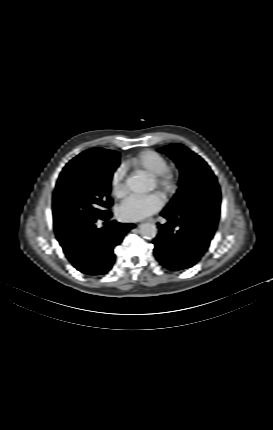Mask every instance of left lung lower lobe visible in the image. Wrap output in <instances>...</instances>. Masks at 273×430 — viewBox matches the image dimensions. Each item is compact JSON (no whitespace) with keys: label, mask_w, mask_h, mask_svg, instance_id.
Listing matches in <instances>:
<instances>
[{"label":"left lung lower lobe","mask_w":273,"mask_h":430,"mask_svg":"<svg viewBox=\"0 0 273 430\" xmlns=\"http://www.w3.org/2000/svg\"><path fill=\"white\" fill-rule=\"evenodd\" d=\"M189 215L178 217L164 209L161 213L168 222L159 225L153 240L154 254L165 268L179 271L196 264L208 249L220 213V201L203 197Z\"/></svg>","instance_id":"1"}]
</instances>
